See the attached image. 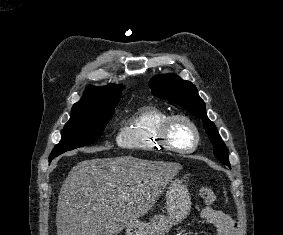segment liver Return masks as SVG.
Listing matches in <instances>:
<instances>
[{
  "label": "liver",
  "mask_w": 283,
  "mask_h": 235,
  "mask_svg": "<svg viewBox=\"0 0 283 235\" xmlns=\"http://www.w3.org/2000/svg\"><path fill=\"white\" fill-rule=\"evenodd\" d=\"M181 169L133 156L79 162L60 190L57 235H117L153 207Z\"/></svg>",
  "instance_id": "obj_1"
}]
</instances>
